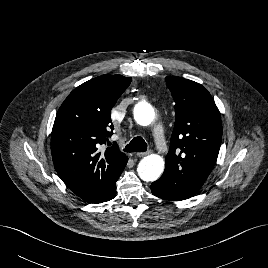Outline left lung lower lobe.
Masks as SVG:
<instances>
[{
  "mask_svg": "<svg viewBox=\"0 0 268 268\" xmlns=\"http://www.w3.org/2000/svg\"><path fill=\"white\" fill-rule=\"evenodd\" d=\"M150 188L153 195L166 200L180 201L191 197L184 193L173 190L165 185L159 184L156 181L152 183Z\"/></svg>",
  "mask_w": 268,
  "mask_h": 268,
  "instance_id": "left-lung-lower-lobe-1",
  "label": "left lung lower lobe"
}]
</instances>
